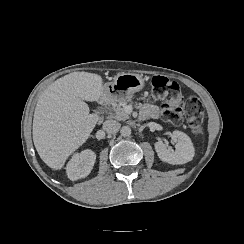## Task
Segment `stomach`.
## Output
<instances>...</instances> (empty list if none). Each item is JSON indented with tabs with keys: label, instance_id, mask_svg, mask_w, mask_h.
I'll use <instances>...</instances> for the list:
<instances>
[{
	"label": "stomach",
	"instance_id": "stomach-1",
	"mask_svg": "<svg viewBox=\"0 0 244 244\" xmlns=\"http://www.w3.org/2000/svg\"><path fill=\"white\" fill-rule=\"evenodd\" d=\"M145 85V78L135 73H118L112 82L103 86L101 99L104 101H130L135 92Z\"/></svg>",
	"mask_w": 244,
	"mask_h": 244
}]
</instances>
